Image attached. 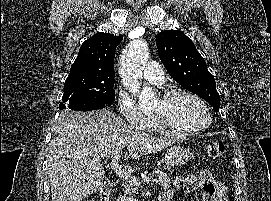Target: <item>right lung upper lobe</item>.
Listing matches in <instances>:
<instances>
[{
  "mask_svg": "<svg viewBox=\"0 0 271 201\" xmlns=\"http://www.w3.org/2000/svg\"><path fill=\"white\" fill-rule=\"evenodd\" d=\"M122 36L99 32L87 39L80 47L79 54L71 66L70 73H114L116 47Z\"/></svg>",
  "mask_w": 271,
  "mask_h": 201,
  "instance_id": "cb5924a9",
  "label": "right lung upper lobe"
}]
</instances>
